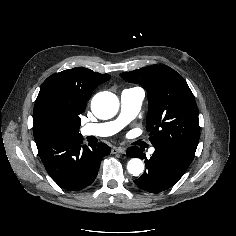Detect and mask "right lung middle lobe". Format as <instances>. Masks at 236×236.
Listing matches in <instances>:
<instances>
[{
    "label": "right lung middle lobe",
    "mask_w": 236,
    "mask_h": 236,
    "mask_svg": "<svg viewBox=\"0 0 236 236\" xmlns=\"http://www.w3.org/2000/svg\"><path fill=\"white\" fill-rule=\"evenodd\" d=\"M80 123L69 126L56 114H47L41 123V133L45 139L79 134Z\"/></svg>",
    "instance_id": "right-lung-middle-lobe-1"
}]
</instances>
